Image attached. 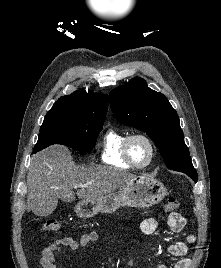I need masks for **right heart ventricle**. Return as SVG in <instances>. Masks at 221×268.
Wrapping results in <instances>:
<instances>
[{
	"mask_svg": "<svg viewBox=\"0 0 221 268\" xmlns=\"http://www.w3.org/2000/svg\"><path fill=\"white\" fill-rule=\"evenodd\" d=\"M128 133L109 129L102 141L101 160L103 163L119 168H131L123 155V142Z\"/></svg>",
	"mask_w": 221,
	"mask_h": 268,
	"instance_id": "obj_1",
	"label": "right heart ventricle"
}]
</instances>
